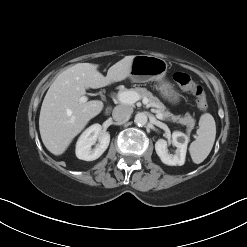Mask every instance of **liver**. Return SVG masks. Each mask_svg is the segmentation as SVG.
<instances>
[{
    "label": "liver",
    "mask_w": 247,
    "mask_h": 247,
    "mask_svg": "<svg viewBox=\"0 0 247 247\" xmlns=\"http://www.w3.org/2000/svg\"><path fill=\"white\" fill-rule=\"evenodd\" d=\"M134 56H125L108 69L104 77L98 65L78 63L62 72L43 100L39 130L45 147L54 155L63 154L72 140L97 116L104 104L99 100L80 103L88 88H101L129 77Z\"/></svg>",
    "instance_id": "liver-1"
}]
</instances>
